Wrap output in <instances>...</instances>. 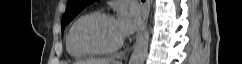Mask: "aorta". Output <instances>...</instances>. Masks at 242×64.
<instances>
[{
	"instance_id": "aorta-1",
	"label": "aorta",
	"mask_w": 242,
	"mask_h": 64,
	"mask_svg": "<svg viewBox=\"0 0 242 64\" xmlns=\"http://www.w3.org/2000/svg\"><path fill=\"white\" fill-rule=\"evenodd\" d=\"M149 39V31L145 30L144 33L138 38L136 45L134 46L129 64H144L148 53Z\"/></svg>"
}]
</instances>
